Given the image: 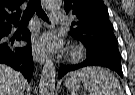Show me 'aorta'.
Here are the masks:
<instances>
[{"mask_svg":"<svg viewBox=\"0 0 135 95\" xmlns=\"http://www.w3.org/2000/svg\"><path fill=\"white\" fill-rule=\"evenodd\" d=\"M47 9L59 8L62 0H43ZM56 70L52 59H47L41 72L39 95H54Z\"/></svg>","mask_w":135,"mask_h":95,"instance_id":"aorta-1","label":"aorta"}]
</instances>
